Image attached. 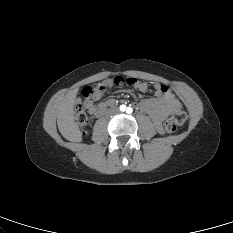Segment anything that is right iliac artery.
I'll return each mask as SVG.
<instances>
[{"mask_svg": "<svg viewBox=\"0 0 233 233\" xmlns=\"http://www.w3.org/2000/svg\"><path fill=\"white\" fill-rule=\"evenodd\" d=\"M125 109H126V106H125V105H121V106H120V110H121V111H125Z\"/></svg>", "mask_w": 233, "mask_h": 233, "instance_id": "obj_1", "label": "right iliac artery"}]
</instances>
